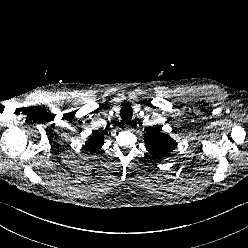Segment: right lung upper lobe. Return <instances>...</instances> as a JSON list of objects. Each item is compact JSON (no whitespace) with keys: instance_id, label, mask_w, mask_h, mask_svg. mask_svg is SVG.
I'll return each instance as SVG.
<instances>
[{"instance_id":"obj_1","label":"right lung upper lobe","mask_w":248,"mask_h":248,"mask_svg":"<svg viewBox=\"0 0 248 248\" xmlns=\"http://www.w3.org/2000/svg\"><path fill=\"white\" fill-rule=\"evenodd\" d=\"M103 138H104V134L103 133H99V134H97L96 137L87 140L85 146L89 150L96 151L97 149H99V148L102 147V145L104 143L103 142Z\"/></svg>"}]
</instances>
